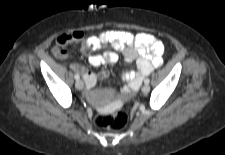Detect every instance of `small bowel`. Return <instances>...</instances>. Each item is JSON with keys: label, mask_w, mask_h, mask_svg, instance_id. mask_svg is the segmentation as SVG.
<instances>
[{"label": "small bowel", "mask_w": 225, "mask_h": 155, "mask_svg": "<svg viewBox=\"0 0 225 155\" xmlns=\"http://www.w3.org/2000/svg\"><path fill=\"white\" fill-rule=\"evenodd\" d=\"M77 42H81V52L83 54H87L91 50L100 49L105 45H110L113 48V50H107L103 54L90 55L88 63L92 67L117 62L119 59L117 51L123 54L125 63L131 64L136 62L138 70L123 76L127 82L122 88L123 98H129L132 93L136 92L142 77L162 64L164 45L155 36L148 33L133 34L126 31L105 30L96 35H85L81 31H74L58 37L52 52L57 58L64 59L67 53L62 47ZM72 68L82 74L87 89L93 88L99 78L103 79L108 75L106 71H102L97 75L80 64H72ZM91 97L100 105L99 107L102 111L110 113L118 112L127 105L126 100L123 98L110 102L107 105L103 104V101L109 97L107 93L102 95L91 94Z\"/></svg>", "instance_id": "1"}]
</instances>
